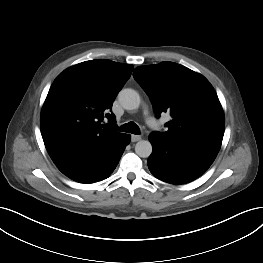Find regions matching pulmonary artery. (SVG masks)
<instances>
[{
  "mask_svg": "<svg viewBox=\"0 0 263 263\" xmlns=\"http://www.w3.org/2000/svg\"><path fill=\"white\" fill-rule=\"evenodd\" d=\"M146 121H147V123L150 124V125H153L154 122H155L154 119L151 118V117H147V118H146Z\"/></svg>",
  "mask_w": 263,
  "mask_h": 263,
  "instance_id": "pulmonary-artery-1",
  "label": "pulmonary artery"
}]
</instances>
